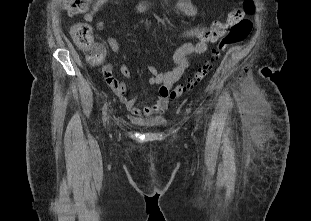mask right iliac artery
Instances as JSON below:
<instances>
[{
  "instance_id": "right-iliac-artery-1",
  "label": "right iliac artery",
  "mask_w": 311,
  "mask_h": 221,
  "mask_svg": "<svg viewBox=\"0 0 311 221\" xmlns=\"http://www.w3.org/2000/svg\"><path fill=\"white\" fill-rule=\"evenodd\" d=\"M106 111H107V104H105L104 107H103V117H104V121L106 120Z\"/></svg>"
}]
</instances>
